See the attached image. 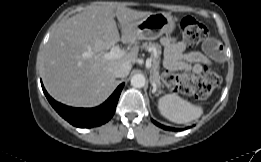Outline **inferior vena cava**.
<instances>
[{"mask_svg":"<svg viewBox=\"0 0 261 162\" xmlns=\"http://www.w3.org/2000/svg\"><path fill=\"white\" fill-rule=\"evenodd\" d=\"M131 70V65L129 63H121L114 67L113 75L117 78L126 77Z\"/></svg>","mask_w":261,"mask_h":162,"instance_id":"inferior-vena-cava-1","label":"inferior vena cava"}]
</instances>
